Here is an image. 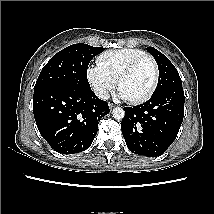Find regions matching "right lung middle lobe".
I'll return each mask as SVG.
<instances>
[{
  "label": "right lung middle lobe",
  "mask_w": 214,
  "mask_h": 214,
  "mask_svg": "<svg viewBox=\"0 0 214 214\" xmlns=\"http://www.w3.org/2000/svg\"><path fill=\"white\" fill-rule=\"evenodd\" d=\"M103 50L102 47L79 43L59 51L43 67L34 89L47 84L91 89L87 80V68L92 58Z\"/></svg>",
  "instance_id": "right-lung-middle-lobe-1"
}]
</instances>
